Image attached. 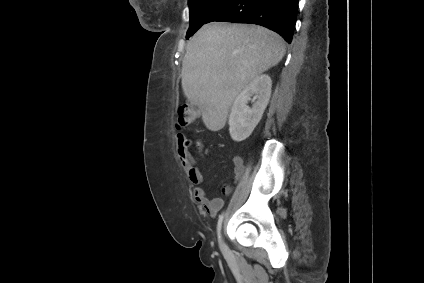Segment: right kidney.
<instances>
[{
	"label": "right kidney",
	"mask_w": 424,
	"mask_h": 283,
	"mask_svg": "<svg viewBox=\"0 0 424 283\" xmlns=\"http://www.w3.org/2000/svg\"><path fill=\"white\" fill-rule=\"evenodd\" d=\"M271 78L262 74L255 77L236 97L229 115V131L234 141L247 139L262 118L271 96ZM252 99V107L248 102Z\"/></svg>",
	"instance_id": "obj_1"
}]
</instances>
